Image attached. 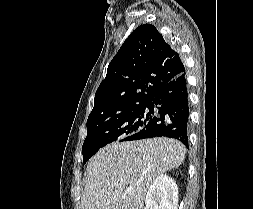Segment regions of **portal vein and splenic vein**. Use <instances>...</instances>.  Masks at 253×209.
Instances as JSON below:
<instances>
[{
  "mask_svg": "<svg viewBox=\"0 0 253 209\" xmlns=\"http://www.w3.org/2000/svg\"><path fill=\"white\" fill-rule=\"evenodd\" d=\"M125 192H126V194L131 195V194L134 193V189H133V188H127V189L125 190Z\"/></svg>",
  "mask_w": 253,
  "mask_h": 209,
  "instance_id": "obj_1",
  "label": "portal vein and splenic vein"
}]
</instances>
